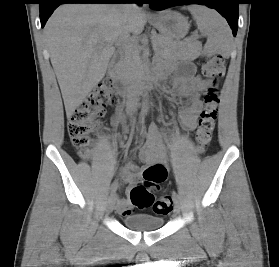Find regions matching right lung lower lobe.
I'll return each mask as SVG.
<instances>
[{
    "label": "right lung lower lobe",
    "mask_w": 279,
    "mask_h": 267,
    "mask_svg": "<svg viewBox=\"0 0 279 267\" xmlns=\"http://www.w3.org/2000/svg\"><path fill=\"white\" fill-rule=\"evenodd\" d=\"M128 1L143 4V0H41L39 2L41 27H44L53 11L63 3H126Z\"/></svg>",
    "instance_id": "right-lung-lower-lobe-1"
}]
</instances>
